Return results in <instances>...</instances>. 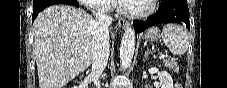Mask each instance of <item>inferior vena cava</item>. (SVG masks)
Here are the masks:
<instances>
[{
    "label": "inferior vena cava",
    "mask_w": 227,
    "mask_h": 88,
    "mask_svg": "<svg viewBox=\"0 0 227 88\" xmlns=\"http://www.w3.org/2000/svg\"><path fill=\"white\" fill-rule=\"evenodd\" d=\"M96 18V26L94 31V52L92 61V75L96 80V85L99 87V77L106 68L109 58V26L112 23V18L103 11H93Z\"/></svg>",
    "instance_id": "602c4592"
}]
</instances>
